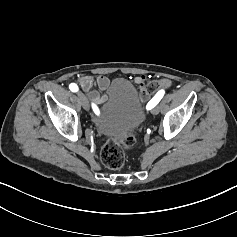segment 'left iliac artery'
I'll list each match as a JSON object with an SVG mask.
<instances>
[{
	"mask_svg": "<svg viewBox=\"0 0 237 237\" xmlns=\"http://www.w3.org/2000/svg\"><path fill=\"white\" fill-rule=\"evenodd\" d=\"M165 91L164 90H160L147 104L146 108L148 110L154 108L159 101L162 99V97L164 96Z\"/></svg>",
	"mask_w": 237,
	"mask_h": 237,
	"instance_id": "44dca946",
	"label": "left iliac artery"
}]
</instances>
